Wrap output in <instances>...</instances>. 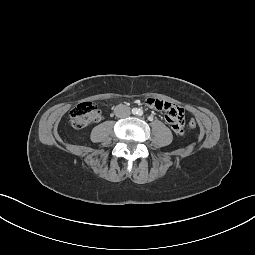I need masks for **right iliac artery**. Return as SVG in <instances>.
I'll use <instances>...</instances> for the list:
<instances>
[{
    "label": "right iliac artery",
    "mask_w": 255,
    "mask_h": 255,
    "mask_svg": "<svg viewBox=\"0 0 255 255\" xmlns=\"http://www.w3.org/2000/svg\"><path fill=\"white\" fill-rule=\"evenodd\" d=\"M137 112H138L137 109H132L133 114H137Z\"/></svg>",
    "instance_id": "right-iliac-artery-1"
}]
</instances>
